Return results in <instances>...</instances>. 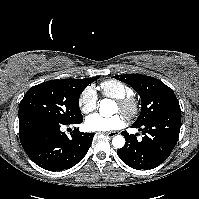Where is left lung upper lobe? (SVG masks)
<instances>
[{
  "instance_id": "left-lung-upper-lobe-1",
  "label": "left lung upper lobe",
  "mask_w": 199,
  "mask_h": 199,
  "mask_svg": "<svg viewBox=\"0 0 199 199\" xmlns=\"http://www.w3.org/2000/svg\"><path fill=\"white\" fill-rule=\"evenodd\" d=\"M114 78L129 84L141 97V113L133 125L140 126L162 114L181 111L172 89L156 78L141 74L116 75Z\"/></svg>"
}]
</instances>
